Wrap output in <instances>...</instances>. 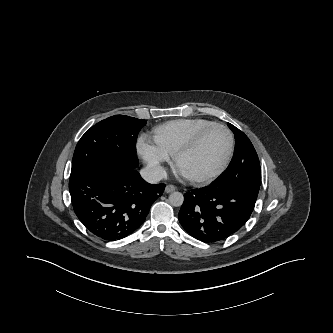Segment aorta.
Segmentation results:
<instances>
[{
	"instance_id": "obj_1",
	"label": "aorta",
	"mask_w": 333,
	"mask_h": 333,
	"mask_svg": "<svg viewBox=\"0 0 333 333\" xmlns=\"http://www.w3.org/2000/svg\"><path fill=\"white\" fill-rule=\"evenodd\" d=\"M184 197L183 194L180 192H173L169 195V203L172 206L178 207L183 204Z\"/></svg>"
}]
</instances>
